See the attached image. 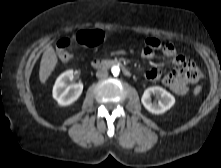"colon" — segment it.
Returning a JSON list of instances; mask_svg holds the SVG:
<instances>
[{"label": "colon", "instance_id": "1", "mask_svg": "<svg viewBox=\"0 0 221 168\" xmlns=\"http://www.w3.org/2000/svg\"><path fill=\"white\" fill-rule=\"evenodd\" d=\"M76 41L85 47H97L104 41V33L101 30H82L76 34ZM72 40L63 38L58 41L56 54L61 62H68L72 58ZM145 46L153 50L160 49L162 43L156 38H148L145 41ZM194 94L199 95L202 92L201 86H196L193 90Z\"/></svg>", "mask_w": 221, "mask_h": 168}]
</instances>
